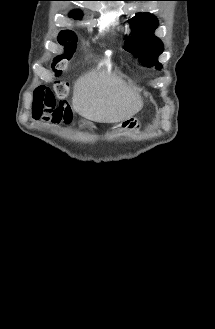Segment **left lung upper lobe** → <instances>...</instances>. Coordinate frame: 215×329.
Listing matches in <instances>:
<instances>
[{
	"mask_svg": "<svg viewBox=\"0 0 215 329\" xmlns=\"http://www.w3.org/2000/svg\"><path fill=\"white\" fill-rule=\"evenodd\" d=\"M149 1V0H134ZM131 36L126 37L124 49L138 57L147 67H163L157 57L163 52V43L153 33L158 26L155 16L150 13H137L130 20Z\"/></svg>",
	"mask_w": 215,
	"mask_h": 329,
	"instance_id": "obj_1",
	"label": "left lung upper lobe"
}]
</instances>
